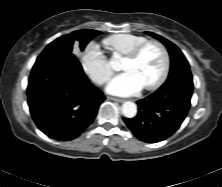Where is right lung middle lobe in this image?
<instances>
[{
	"instance_id": "right-lung-middle-lobe-1",
	"label": "right lung middle lobe",
	"mask_w": 222,
	"mask_h": 187,
	"mask_svg": "<svg viewBox=\"0 0 222 187\" xmlns=\"http://www.w3.org/2000/svg\"><path fill=\"white\" fill-rule=\"evenodd\" d=\"M101 34L100 31L83 29L73 32L70 35H63L51 42L46 49L61 50L63 52L72 53L74 43L79 41L81 50H84L88 42L94 37Z\"/></svg>"
}]
</instances>
